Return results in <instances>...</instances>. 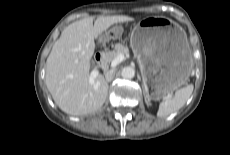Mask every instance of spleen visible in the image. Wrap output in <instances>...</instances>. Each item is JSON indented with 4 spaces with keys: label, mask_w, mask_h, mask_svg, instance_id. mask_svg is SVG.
I'll list each match as a JSON object with an SVG mask.
<instances>
[{
    "label": "spleen",
    "mask_w": 230,
    "mask_h": 155,
    "mask_svg": "<svg viewBox=\"0 0 230 155\" xmlns=\"http://www.w3.org/2000/svg\"><path fill=\"white\" fill-rule=\"evenodd\" d=\"M193 92V85L177 90L174 96L166 97L160 104L157 116L166 117L182 108Z\"/></svg>",
    "instance_id": "obj_1"
}]
</instances>
